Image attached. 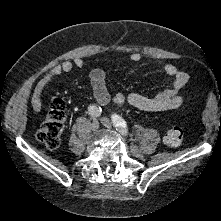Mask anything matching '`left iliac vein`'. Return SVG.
<instances>
[{
	"label": "left iliac vein",
	"instance_id": "left-iliac-vein-1",
	"mask_svg": "<svg viewBox=\"0 0 221 221\" xmlns=\"http://www.w3.org/2000/svg\"><path fill=\"white\" fill-rule=\"evenodd\" d=\"M101 122H102V124L105 126V127H107V128H111L112 127V123H111V121L108 119V118H106V117H102L101 118ZM119 131V130H118ZM122 134V133H121ZM123 135V134H122Z\"/></svg>",
	"mask_w": 221,
	"mask_h": 221
}]
</instances>
